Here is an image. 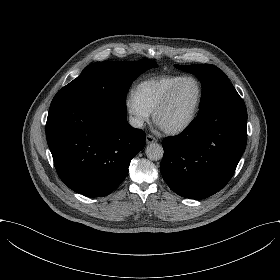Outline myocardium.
<instances>
[{
	"label": "myocardium",
	"mask_w": 280,
	"mask_h": 280,
	"mask_svg": "<svg viewBox=\"0 0 280 280\" xmlns=\"http://www.w3.org/2000/svg\"><path fill=\"white\" fill-rule=\"evenodd\" d=\"M187 80H194L198 83L200 88V95L199 100L197 103V106L193 112V114L184 122L175 124L170 127H162L163 130L168 134H178L189 128L197 119L201 108L203 106L204 97H205V87L203 82L196 76H184L165 96L163 101L159 104V106L154 111V119L157 123H159V117L160 115L170 106L171 101L176 94V92L179 90V88L182 86V84Z\"/></svg>",
	"instance_id": "f54148a6"
}]
</instances>
